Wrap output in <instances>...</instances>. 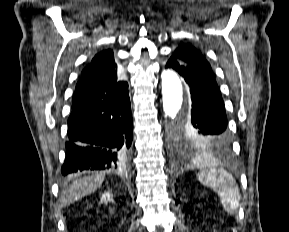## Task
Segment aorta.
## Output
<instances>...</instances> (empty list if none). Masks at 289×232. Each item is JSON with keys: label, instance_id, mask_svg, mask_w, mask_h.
Returning <instances> with one entry per match:
<instances>
[{"label": "aorta", "instance_id": "aorta-1", "mask_svg": "<svg viewBox=\"0 0 289 232\" xmlns=\"http://www.w3.org/2000/svg\"><path fill=\"white\" fill-rule=\"evenodd\" d=\"M162 80V96L163 110L170 119L187 121L188 104L186 101V113L180 115L183 107V88L178 75L172 70L163 71Z\"/></svg>", "mask_w": 289, "mask_h": 232}]
</instances>
